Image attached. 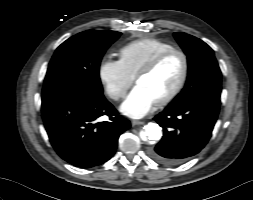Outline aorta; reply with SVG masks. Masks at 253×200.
Segmentation results:
<instances>
[{"label": "aorta", "instance_id": "1", "mask_svg": "<svg viewBox=\"0 0 253 200\" xmlns=\"http://www.w3.org/2000/svg\"><path fill=\"white\" fill-rule=\"evenodd\" d=\"M144 141H158L162 137V129L156 123H148L144 126V131L140 134Z\"/></svg>", "mask_w": 253, "mask_h": 200}]
</instances>
